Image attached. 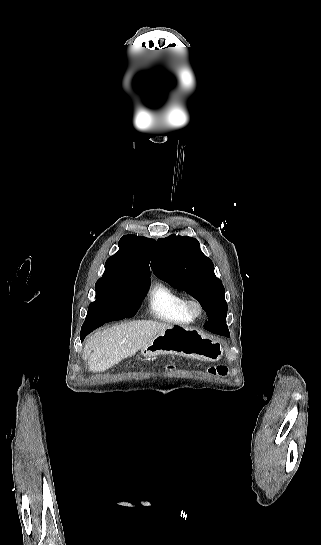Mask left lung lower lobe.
Segmentation results:
<instances>
[{
    "label": "left lung lower lobe",
    "mask_w": 321,
    "mask_h": 545,
    "mask_svg": "<svg viewBox=\"0 0 321 545\" xmlns=\"http://www.w3.org/2000/svg\"><path fill=\"white\" fill-rule=\"evenodd\" d=\"M206 314L208 316V321L204 325L206 330L216 334L228 332L226 315L218 310H209L206 312Z\"/></svg>",
    "instance_id": "left-lung-lower-lobe-1"
}]
</instances>
